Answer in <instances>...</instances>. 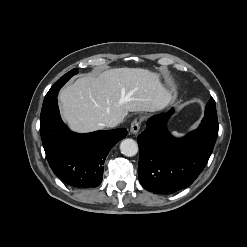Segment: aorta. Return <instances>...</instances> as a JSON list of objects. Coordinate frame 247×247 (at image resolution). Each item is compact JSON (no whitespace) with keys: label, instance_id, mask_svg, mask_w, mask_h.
Wrapping results in <instances>:
<instances>
[{"label":"aorta","instance_id":"762f6f07","mask_svg":"<svg viewBox=\"0 0 247 247\" xmlns=\"http://www.w3.org/2000/svg\"><path fill=\"white\" fill-rule=\"evenodd\" d=\"M120 151L127 157H132L138 152V144L133 139H124L120 144Z\"/></svg>","mask_w":247,"mask_h":247}]
</instances>
